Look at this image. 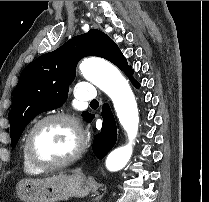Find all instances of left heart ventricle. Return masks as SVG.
I'll list each match as a JSON object with an SVG mask.
<instances>
[{
    "instance_id": "left-heart-ventricle-1",
    "label": "left heart ventricle",
    "mask_w": 209,
    "mask_h": 202,
    "mask_svg": "<svg viewBox=\"0 0 209 202\" xmlns=\"http://www.w3.org/2000/svg\"><path fill=\"white\" fill-rule=\"evenodd\" d=\"M77 141V133L69 124L49 121L34 132L31 149L37 160L54 163L70 156L76 148Z\"/></svg>"
}]
</instances>
